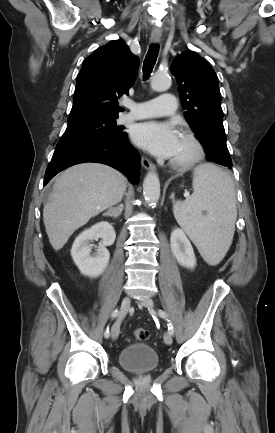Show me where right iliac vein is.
I'll return each instance as SVG.
<instances>
[{"label":"right iliac vein","mask_w":275,"mask_h":433,"mask_svg":"<svg viewBox=\"0 0 275 433\" xmlns=\"http://www.w3.org/2000/svg\"><path fill=\"white\" fill-rule=\"evenodd\" d=\"M131 300L129 297H125L121 302L120 312L117 318V321L114 323L111 329V337L113 340H116L119 336L120 332V324L125 315L127 314L130 307Z\"/></svg>","instance_id":"1"}]
</instances>
